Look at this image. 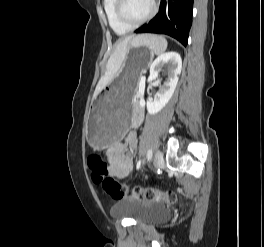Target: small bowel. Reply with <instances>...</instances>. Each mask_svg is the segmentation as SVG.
Returning <instances> with one entry per match:
<instances>
[{
	"instance_id": "c3829d8e",
	"label": "small bowel",
	"mask_w": 264,
	"mask_h": 247,
	"mask_svg": "<svg viewBox=\"0 0 264 247\" xmlns=\"http://www.w3.org/2000/svg\"><path fill=\"white\" fill-rule=\"evenodd\" d=\"M142 121V114L139 113L132 119V126L137 127ZM138 137L135 130H131L124 141L117 143L108 149V161L110 174L116 178L127 177L133 169L134 160L128 153L129 149H136Z\"/></svg>"
}]
</instances>
